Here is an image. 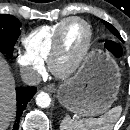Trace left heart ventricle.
<instances>
[{"label":"left heart ventricle","instance_id":"1","mask_svg":"<svg viewBox=\"0 0 130 130\" xmlns=\"http://www.w3.org/2000/svg\"><path fill=\"white\" fill-rule=\"evenodd\" d=\"M87 39L86 27L78 21L71 22L64 33V47L58 61L60 68L69 67L82 51Z\"/></svg>","mask_w":130,"mask_h":130}]
</instances>
